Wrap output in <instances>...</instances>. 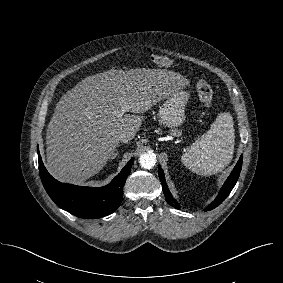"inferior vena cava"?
<instances>
[{
	"instance_id": "inferior-vena-cava-1",
	"label": "inferior vena cava",
	"mask_w": 283,
	"mask_h": 283,
	"mask_svg": "<svg viewBox=\"0 0 283 283\" xmlns=\"http://www.w3.org/2000/svg\"><path fill=\"white\" fill-rule=\"evenodd\" d=\"M128 138L126 135H116L114 138L115 143L123 142V143H128Z\"/></svg>"
}]
</instances>
